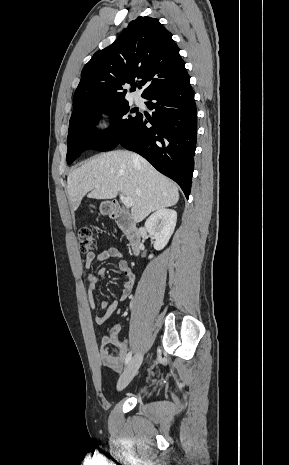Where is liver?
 <instances>
[{
    "label": "liver",
    "instance_id": "obj_1",
    "mask_svg": "<svg viewBox=\"0 0 289 465\" xmlns=\"http://www.w3.org/2000/svg\"><path fill=\"white\" fill-rule=\"evenodd\" d=\"M129 151H111L97 155L67 178L69 202L76 211L85 195L93 199H113L118 193L132 198L133 220L138 223L151 212L175 205L177 185L139 157L134 162Z\"/></svg>",
    "mask_w": 289,
    "mask_h": 465
}]
</instances>
